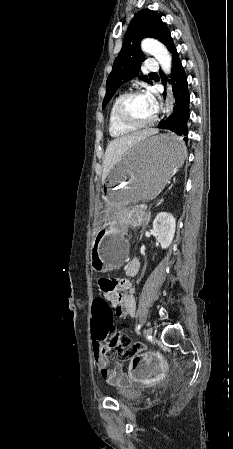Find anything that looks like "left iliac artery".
I'll use <instances>...</instances> for the list:
<instances>
[{"label":"left iliac artery","instance_id":"1","mask_svg":"<svg viewBox=\"0 0 233 449\" xmlns=\"http://www.w3.org/2000/svg\"><path fill=\"white\" fill-rule=\"evenodd\" d=\"M140 328H141V325H140V324H138V325H137V327H136V332H137V333H139V331H140Z\"/></svg>","mask_w":233,"mask_h":449}]
</instances>
